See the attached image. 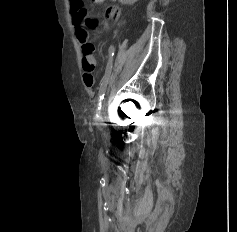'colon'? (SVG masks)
Masks as SVG:
<instances>
[{
    "instance_id": "1",
    "label": "colon",
    "mask_w": 237,
    "mask_h": 232,
    "mask_svg": "<svg viewBox=\"0 0 237 232\" xmlns=\"http://www.w3.org/2000/svg\"><path fill=\"white\" fill-rule=\"evenodd\" d=\"M70 5L77 35L82 39L88 38V29L96 27V21L87 16L84 0H70ZM116 14L113 7H108L104 12L106 19L114 18Z\"/></svg>"
}]
</instances>
